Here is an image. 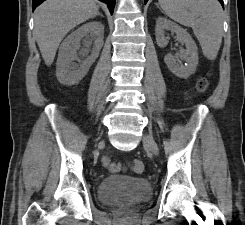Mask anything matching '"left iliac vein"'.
Segmentation results:
<instances>
[{
	"instance_id": "left-iliac-vein-1",
	"label": "left iliac vein",
	"mask_w": 245,
	"mask_h": 225,
	"mask_svg": "<svg viewBox=\"0 0 245 225\" xmlns=\"http://www.w3.org/2000/svg\"><path fill=\"white\" fill-rule=\"evenodd\" d=\"M143 144L148 147V149L155 155L158 154V146L155 142V140L153 139L152 136L150 135H145L143 137Z\"/></svg>"
}]
</instances>
